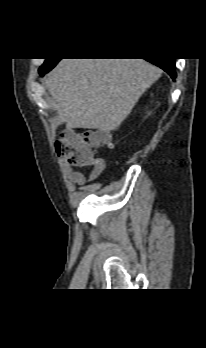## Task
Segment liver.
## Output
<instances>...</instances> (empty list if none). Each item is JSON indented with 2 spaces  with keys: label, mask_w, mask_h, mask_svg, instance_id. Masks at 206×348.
<instances>
[{
  "label": "liver",
  "mask_w": 206,
  "mask_h": 348,
  "mask_svg": "<svg viewBox=\"0 0 206 348\" xmlns=\"http://www.w3.org/2000/svg\"><path fill=\"white\" fill-rule=\"evenodd\" d=\"M161 75L144 59H62L46 85L68 127L110 132Z\"/></svg>",
  "instance_id": "1"
}]
</instances>
